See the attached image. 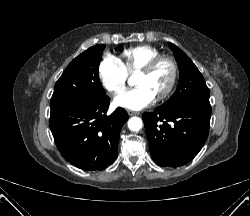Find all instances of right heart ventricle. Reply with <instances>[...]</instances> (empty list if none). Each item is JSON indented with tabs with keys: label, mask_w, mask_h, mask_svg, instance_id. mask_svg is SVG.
Instances as JSON below:
<instances>
[{
	"label": "right heart ventricle",
	"mask_w": 250,
	"mask_h": 216,
	"mask_svg": "<svg viewBox=\"0 0 250 216\" xmlns=\"http://www.w3.org/2000/svg\"><path fill=\"white\" fill-rule=\"evenodd\" d=\"M158 56V50L151 46H137L124 52V62L122 64L127 72L137 73Z\"/></svg>",
	"instance_id": "right-heart-ventricle-1"
}]
</instances>
